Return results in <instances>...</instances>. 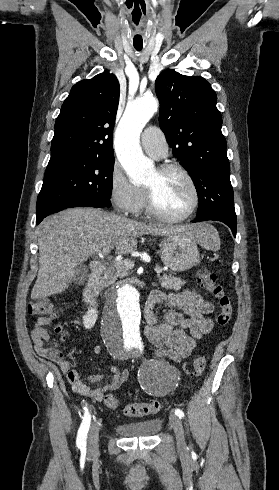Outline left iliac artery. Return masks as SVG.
Here are the masks:
<instances>
[{
	"instance_id": "1",
	"label": "left iliac artery",
	"mask_w": 279,
	"mask_h": 490,
	"mask_svg": "<svg viewBox=\"0 0 279 490\" xmlns=\"http://www.w3.org/2000/svg\"><path fill=\"white\" fill-rule=\"evenodd\" d=\"M175 414H176V415H177V416H178L180 419L184 417V413H183V411H182V410H180V409H176V410H175Z\"/></svg>"
}]
</instances>
